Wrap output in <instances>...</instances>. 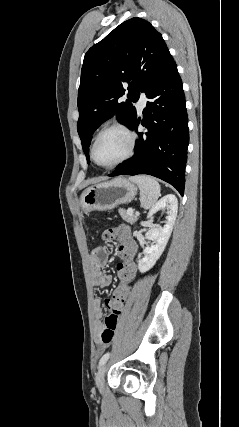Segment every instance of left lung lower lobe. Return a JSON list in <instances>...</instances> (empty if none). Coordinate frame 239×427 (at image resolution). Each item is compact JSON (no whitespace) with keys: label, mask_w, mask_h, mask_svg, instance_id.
Masks as SVG:
<instances>
[{"label":"left lung lower lobe","mask_w":239,"mask_h":427,"mask_svg":"<svg viewBox=\"0 0 239 427\" xmlns=\"http://www.w3.org/2000/svg\"><path fill=\"white\" fill-rule=\"evenodd\" d=\"M149 101L143 119L135 118L147 132H137L134 156L123 162L109 176L148 174L160 178L183 196L185 164L189 143L188 117L182 81L173 62L145 91Z\"/></svg>","instance_id":"1"}]
</instances>
